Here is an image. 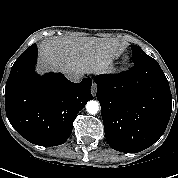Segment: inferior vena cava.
Returning <instances> with one entry per match:
<instances>
[{
    "label": "inferior vena cava",
    "instance_id": "1",
    "mask_svg": "<svg viewBox=\"0 0 178 178\" xmlns=\"http://www.w3.org/2000/svg\"><path fill=\"white\" fill-rule=\"evenodd\" d=\"M68 79L72 82L78 83L82 79V75L79 73H72L68 75Z\"/></svg>",
    "mask_w": 178,
    "mask_h": 178
}]
</instances>
